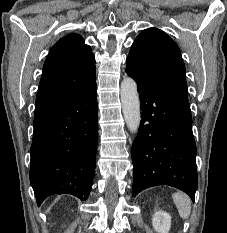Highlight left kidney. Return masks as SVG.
I'll use <instances>...</instances> for the list:
<instances>
[{"label": "left kidney", "mask_w": 227, "mask_h": 233, "mask_svg": "<svg viewBox=\"0 0 227 233\" xmlns=\"http://www.w3.org/2000/svg\"><path fill=\"white\" fill-rule=\"evenodd\" d=\"M152 225L158 233H169L171 227V216L165 211H157L153 215Z\"/></svg>", "instance_id": "obj_1"}]
</instances>
